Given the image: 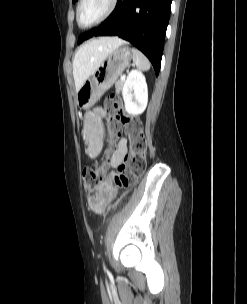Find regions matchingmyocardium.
<instances>
[{
	"label": "myocardium",
	"instance_id": "obj_1",
	"mask_svg": "<svg viewBox=\"0 0 247 304\" xmlns=\"http://www.w3.org/2000/svg\"><path fill=\"white\" fill-rule=\"evenodd\" d=\"M85 1L86 0H79L77 7H76V23H77L78 27L81 29H89V28L97 26L100 23H102L103 21H105L114 12V10L116 9L117 4H118V0H109L107 9L104 11V13L99 18H97L95 21H93L92 23H90L88 25H82L80 22V11H81V7Z\"/></svg>",
	"mask_w": 247,
	"mask_h": 304
}]
</instances>
